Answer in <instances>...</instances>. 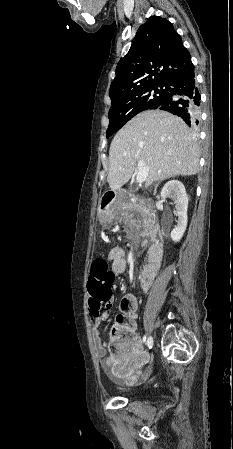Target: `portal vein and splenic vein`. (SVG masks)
<instances>
[{
	"label": "portal vein and splenic vein",
	"mask_w": 233,
	"mask_h": 449,
	"mask_svg": "<svg viewBox=\"0 0 233 449\" xmlns=\"http://www.w3.org/2000/svg\"><path fill=\"white\" fill-rule=\"evenodd\" d=\"M137 176H136V181L137 183L141 184L143 183L147 176H148V172H149V167L145 164L144 161L139 160L137 163Z\"/></svg>",
	"instance_id": "obj_1"
}]
</instances>
